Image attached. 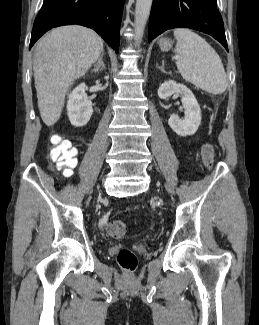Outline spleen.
Wrapping results in <instances>:
<instances>
[{"label": "spleen", "instance_id": "3e777b00", "mask_svg": "<svg viewBox=\"0 0 259 325\" xmlns=\"http://www.w3.org/2000/svg\"><path fill=\"white\" fill-rule=\"evenodd\" d=\"M174 36L176 66L183 79L208 93H223L227 88L226 73L211 45L190 29H175Z\"/></svg>", "mask_w": 259, "mask_h": 325}]
</instances>
